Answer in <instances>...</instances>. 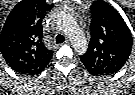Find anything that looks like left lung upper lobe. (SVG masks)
<instances>
[{
	"instance_id": "1",
	"label": "left lung upper lobe",
	"mask_w": 135,
	"mask_h": 95,
	"mask_svg": "<svg viewBox=\"0 0 135 95\" xmlns=\"http://www.w3.org/2000/svg\"><path fill=\"white\" fill-rule=\"evenodd\" d=\"M91 14V38L86 53L80 59L94 73L116 71L131 52L130 32L121 19L102 7L91 8Z\"/></svg>"
}]
</instances>
